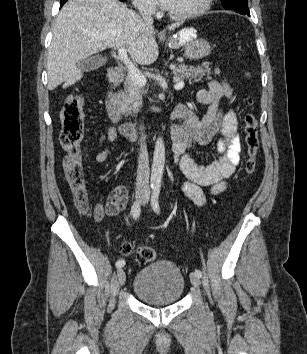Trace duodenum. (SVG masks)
<instances>
[{
  "label": "duodenum",
  "mask_w": 307,
  "mask_h": 354,
  "mask_svg": "<svg viewBox=\"0 0 307 354\" xmlns=\"http://www.w3.org/2000/svg\"><path fill=\"white\" fill-rule=\"evenodd\" d=\"M124 71L121 68L114 67L109 70L108 90L104 97V104L107 115L112 123L118 124L120 133L127 139L133 140L138 136L139 125L137 122L120 123L122 111L120 107L119 97L114 89L124 80ZM175 116V110L171 113V117Z\"/></svg>",
  "instance_id": "1"
}]
</instances>
